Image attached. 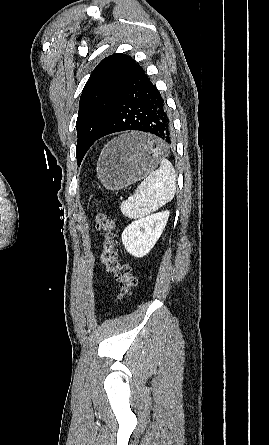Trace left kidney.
Instances as JSON below:
<instances>
[{"label":"left kidney","instance_id":"obj_1","mask_svg":"<svg viewBox=\"0 0 269 445\" xmlns=\"http://www.w3.org/2000/svg\"><path fill=\"white\" fill-rule=\"evenodd\" d=\"M169 211L140 218L128 225L122 233V242L131 255H147L160 238L169 217Z\"/></svg>","mask_w":269,"mask_h":445}]
</instances>
